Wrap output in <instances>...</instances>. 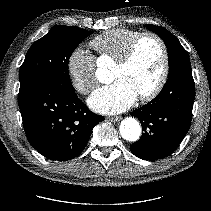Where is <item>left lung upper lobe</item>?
<instances>
[{"label": "left lung upper lobe", "mask_w": 211, "mask_h": 211, "mask_svg": "<svg viewBox=\"0 0 211 211\" xmlns=\"http://www.w3.org/2000/svg\"><path fill=\"white\" fill-rule=\"evenodd\" d=\"M148 29L157 33L165 42L168 51L169 73L182 66H190L189 56L178 39L161 26L147 25Z\"/></svg>", "instance_id": "obj_1"}]
</instances>
